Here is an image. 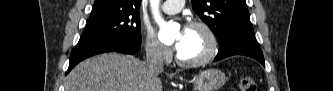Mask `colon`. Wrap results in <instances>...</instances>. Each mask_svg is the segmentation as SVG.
Segmentation results:
<instances>
[{"mask_svg":"<svg viewBox=\"0 0 333 91\" xmlns=\"http://www.w3.org/2000/svg\"><path fill=\"white\" fill-rule=\"evenodd\" d=\"M239 86H240L241 91H257L258 90L257 85L254 82V80L247 75H243L240 78Z\"/></svg>","mask_w":333,"mask_h":91,"instance_id":"1","label":"colon"}]
</instances>
